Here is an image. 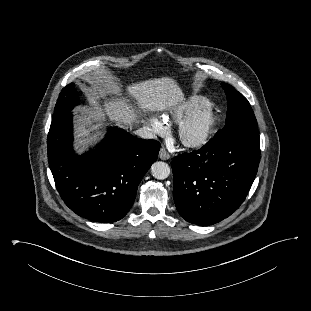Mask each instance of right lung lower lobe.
<instances>
[{
    "label": "right lung lower lobe",
    "mask_w": 311,
    "mask_h": 311,
    "mask_svg": "<svg viewBox=\"0 0 311 311\" xmlns=\"http://www.w3.org/2000/svg\"><path fill=\"white\" fill-rule=\"evenodd\" d=\"M72 140L68 111L53 119L47 137L49 166L62 200L77 215L94 222L122 219L158 157L159 142L111 128L96 149L78 156Z\"/></svg>",
    "instance_id": "98d812e1"
}]
</instances>
